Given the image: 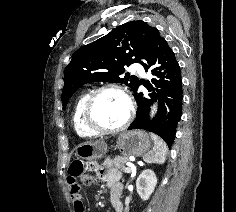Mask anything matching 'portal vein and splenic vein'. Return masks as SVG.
Masks as SVG:
<instances>
[{"label": "portal vein and splenic vein", "instance_id": "obj_1", "mask_svg": "<svg viewBox=\"0 0 236 212\" xmlns=\"http://www.w3.org/2000/svg\"><path fill=\"white\" fill-rule=\"evenodd\" d=\"M132 169H133V165L131 163H127V167L125 169V172L129 173V172H131Z\"/></svg>", "mask_w": 236, "mask_h": 212}]
</instances>
